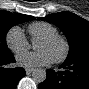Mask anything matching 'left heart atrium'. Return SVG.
I'll return each instance as SVG.
<instances>
[{
    "instance_id": "1",
    "label": "left heart atrium",
    "mask_w": 89,
    "mask_h": 89,
    "mask_svg": "<svg viewBox=\"0 0 89 89\" xmlns=\"http://www.w3.org/2000/svg\"><path fill=\"white\" fill-rule=\"evenodd\" d=\"M17 63L23 67H37L49 65L53 62L52 56L47 51L26 52L17 56Z\"/></svg>"
}]
</instances>
